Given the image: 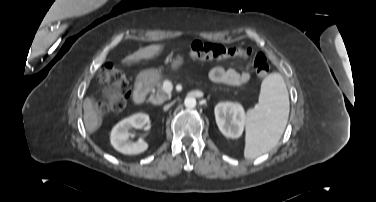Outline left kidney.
I'll return each instance as SVG.
<instances>
[{"mask_svg":"<svg viewBox=\"0 0 376 202\" xmlns=\"http://www.w3.org/2000/svg\"><path fill=\"white\" fill-rule=\"evenodd\" d=\"M217 126L225 137L239 138L244 130L246 113L239 103L220 102L215 106Z\"/></svg>","mask_w":376,"mask_h":202,"instance_id":"obj_1","label":"left kidney"}]
</instances>
